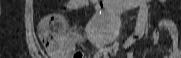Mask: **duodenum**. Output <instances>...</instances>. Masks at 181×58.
<instances>
[{
	"instance_id": "obj_1",
	"label": "duodenum",
	"mask_w": 181,
	"mask_h": 58,
	"mask_svg": "<svg viewBox=\"0 0 181 58\" xmlns=\"http://www.w3.org/2000/svg\"><path fill=\"white\" fill-rule=\"evenodd\" d=\"M143 1L144 0H104L103 3L107 6V8L116 12H121L123 10L136 7Z\"/></svg>"
}]
</instances>
